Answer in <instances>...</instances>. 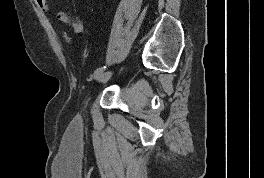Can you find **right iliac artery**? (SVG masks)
<instances>
[{
  "label": "right iliac artery",
  "mask_w": 264,
  "mask_h": 178,
  "mask_svg": "<svg viewBox=\"0 0 264 178\" xmlns=\"http://www.w3.org/2000/svg\"><path fill=\"white\" fill-rule=\"evenodd\" d=\"M104 69H106V66L100 67L98 68L95 72H94V76L96 77L97 75H99L100 73H102L104 71Z\"/></svg>",
  "instance_id": "82829eb1"
}]
</instances>
